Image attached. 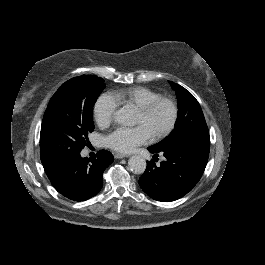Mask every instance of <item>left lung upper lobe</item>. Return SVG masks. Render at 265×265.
<instances>
[{
    "label": "left lung upper lobe",
    "instance_id": "1",
    "mask_svg": "<svg viewBox=\"0 0 265 265\" xmlns=\"http://www.w3.org/2000/svg\"><path fill=\"white\" fill-rule=\"evenodd\" d=\"M178 99V118L175 129L161 142L149 147L156 151L190 140L209 141V131L201 107L184 87L171 82Z\"/></svg>",
    "mask_w": 265,
    "mask_h": 265
}]
</instances>
